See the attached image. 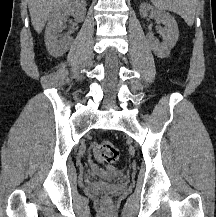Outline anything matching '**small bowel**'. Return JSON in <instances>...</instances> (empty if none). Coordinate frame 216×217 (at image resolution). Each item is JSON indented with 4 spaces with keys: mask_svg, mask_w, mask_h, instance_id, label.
<instances>
[{
    "mask_svg": "<svg viewBox=\"0 0 216 217\" xmlns=\"http://www.w3.org/2000/svg\"><path fill=\"white\" fill-rule=\"evenodd\" d=\"M96 143L90 147V170L93 176L99 178H108L117 172V169L111 166H105L100 163L96 156Z\"/></svg>",
    "mask_w": 216,
    "mask_h": 217,
    "instance_id": "obj_1",
    "label": "small bowel"
}]
</instances>
